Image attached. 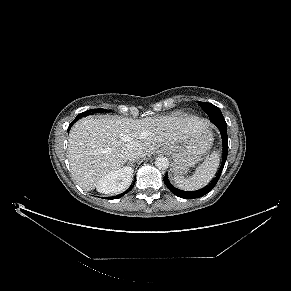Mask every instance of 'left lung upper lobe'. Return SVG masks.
Returning <instances> with one entry per match:
<instances>
[{"mask_svg": "<svg viewBox=\"0 0 291 291\" xmlns=\"http://www.w3.org/2000/svg\"><path fill=\"white\" fill-rule=\"evenodd\" d=\"M200 107L208 114L209 117H223L220 109L211 103L198 102ZM187 196H190L191 193L185 192Z\"/></svg>", "mask_w": 291, "mask_h": 291, "instance_id": "obj_1", "label": "left lung upper lobe"}]
</instances>
